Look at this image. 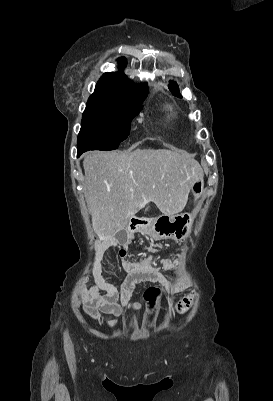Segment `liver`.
<instances>
[{
    "label": "liver",
    "mask_w": 273,
    "mask_h": 401,
    "mask_svg": "<svg viewBox=\"0 0 273 401\" xmlns=\"http://www.w3.org/2000/svg\"><path fill=\"white\" fill-rule=\"evenodd\" d=\"M83 166L92 229L103 243L114 241L150 201L168 217L181 213L194 182L203 178L201 164L181 148L96 150L85 156Z\"/></svg>",
    "instance_id": "obj_1"
}]
</instances>
